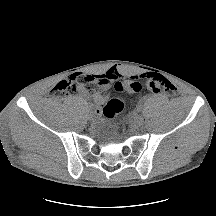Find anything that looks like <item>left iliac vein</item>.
<instances>
[{"label": "left iliac vein", "mask_w": 216, "mask_h": 216, "mask_svg": "<svg viewBox=\"0 0 216 216\" xmlns=\"http://www.w3.org/2000/svg\"><path fill=\"white\" fill-rule=\"evenodd\" d=\"M142 124H143V117L141 115L136 116L133 120L134 127L138 128L142 126Z\"/></svg>", "instance_id": "left-iliac-vein-1"}]
</instances>
